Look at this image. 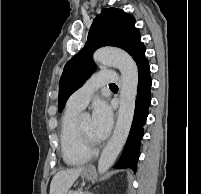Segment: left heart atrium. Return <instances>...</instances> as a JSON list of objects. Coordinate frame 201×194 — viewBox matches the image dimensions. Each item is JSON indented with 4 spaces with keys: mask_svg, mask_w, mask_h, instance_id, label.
Masks as SVG:
<instances>
[{
    "mask_svg": "<svg viewBox=\"0 0 201 194\" xmlns=\"http://www.w3.org/2000/svg\"><path fill=\"white\" fill-rule=\"evenodd\" d=\"M92 134L96 140H102L109 134L113 115L110 107L103 101H98L93 107Z\"/></svg>",
    "mask_w": 201,
    "mask_h": 194,
    "instance_id": "39dd6f15",
    "label": "left heart atrium"
}]
</instances>
